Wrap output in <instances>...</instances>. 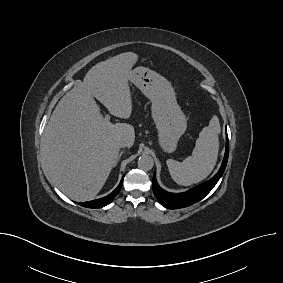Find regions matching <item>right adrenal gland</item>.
Wrapping results in <instances>:
<instances>
[{
  "label": "right adrenal gland",
  "mask_w": 283,
  "mask_h": 283,
  "mask_svg": "<svg viewBox=\"0 0 283 283\" xmlns=\"http://www.w3.org/2000/svg\"><path fill=\"white\" fill-rule=\"evenodd\" d=\"M122 154H123V151H122V152H120V154H119V156H118V158H117V160H116V162H115V164H114V167H116V166H117V163H118V161L120 160V158H121Z\"/></svg>",
  "instance_id": "obj_1"
}]
</instances>
